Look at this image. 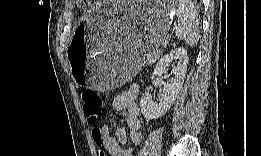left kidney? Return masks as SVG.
<instances>
[{"instance_id":"obj_1","label":"left kidney","mask_w":261,"mask_h":156,"mask_svg":"<svg viewBox=\"0 0 261 156\" xmlns=\"http://www.w3.org/2000/svg\"><path fill=\"white\" fill-rule=\"evenodd\" d=\"M188 61L187 51L183 47L172 50L158 61L151 79L154 78V75L162 76L163 74H166L167 67L172 62L175 64V67L171 72L173 77L170 79L169 83H165L162 88V97L158 102L154 101L149 93H145L141 97L140 107L142 114L146 119H158L170 109L183 85Z\"/></svg>"}]
</instances>
